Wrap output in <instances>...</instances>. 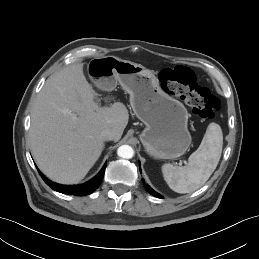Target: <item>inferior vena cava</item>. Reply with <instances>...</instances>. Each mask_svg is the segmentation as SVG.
Instances as JSON below:
<instances>
[{"label": "inferior vena cava", "mask_w": 259, "mask_h": 259, "mask_svg": "<svg viewBox=\"0 0 259 259\" xmlns=\"http://www.w3.org/2000/svg\"><path fill=\"white\" fill-rule=\"evenodd\" d=\"M101 135L105 141L115 140L116 138V132L112 129L103 130Z\"/></svg>", "instance_id": "1"}]
</instances>
